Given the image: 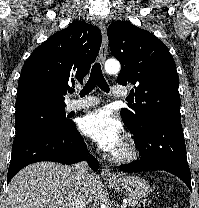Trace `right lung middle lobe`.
<instances>
[{"mask_svg": "<svg viewBox=\"0 0 199 208\" xmlns=\"http://www.w3.org/2000/svg\"><path fill=\"white\" fill-rule=\"evenodd\" d=\"M73 124L68 120L65 107L30 106L16 110V131L24 127L41 126L52 130H64Z\"/></svg>", "mask_w": 199, "mask_h": 208, "instance_id": "dd1d6c3e", "label": "right lung middle lobe"}]
</instances>
